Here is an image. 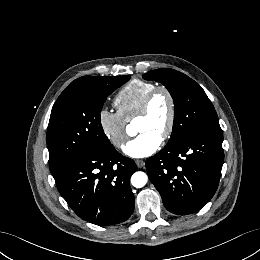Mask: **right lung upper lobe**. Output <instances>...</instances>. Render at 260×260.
Segmentation results:
<instances>
[{
    "mask_svg": "<svg viewBox=\"0 0 260 260\" xmlns=\"http://www.w3.org/2000/svg\"><path fill=\"white\" fill-rule=\"evenodd\" d=\"M98 76H84V77H80L76 80H74L64 91L63 93L68 92L69 90L79 87V86H83L87 83H89L91 80H93L94 78H96Z\"/></svg>",
    "mask_w": 260,
    "mask_h": 260,
    "instance_id": "1",
    "label": "right lung upper lobe"
}]
</instances>
